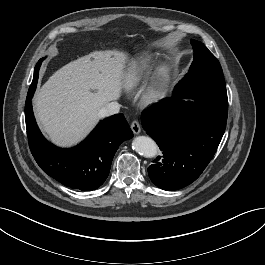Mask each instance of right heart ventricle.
<instances>
[{
  "instance_id": "1",
  "label": "right heart ventricle",
  "mask_w": 265,
  "mask_h": 265,
  "mask_svg": "<svg viewBox=\"0 0 265 265\" xmlns=\"http://www.w3.org/2000/svg\"><path fill=\"white\" fill-rule=\"evenodd\" d=\"M153 59L148 53H141L135 57L126 69L121 79V85L125 91H132L137 88L147 77Z\"/></svg>"
}]
</instances>
